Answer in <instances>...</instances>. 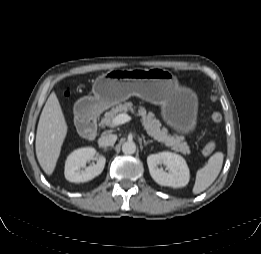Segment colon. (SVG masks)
<instances>
[{
  "label": "colon",
  "instance_id": "colon-1",
  "mask_svg": "<svg viewBox=\"0 0 261 254\" xmlns=\"http://www.w3.org/2000/svg\"><path fill=\"white\" fill-rule=\"evenodd\" d=\"M211 121L215 124H220L222 122L223 116L220 112H213L210 116ZM216 147L215 141H209L203 148V154L208 156L213 153Z\"/></svg>",
  "mask_w": 261,
  "mask_h": 254
}]
</instances>
